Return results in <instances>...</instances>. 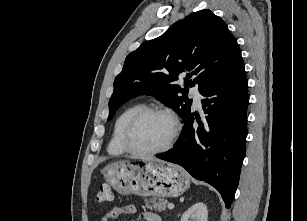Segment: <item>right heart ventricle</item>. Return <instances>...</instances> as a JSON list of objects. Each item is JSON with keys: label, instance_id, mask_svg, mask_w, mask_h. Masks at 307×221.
I'll use <instances>...</instances> for the list:
<instances>
[{"label": "right heart ventricle", "instance_id": "right-heart-ventricle-1", "mask_svg": "<svg viewBox=\"0 0 307 221\" xmlns=\"http://www.w3.org/2000/svg\"><path fill=\"white\" fill-rule=\"evenodd\" d=\"M145 104L138 102L126 107L116 118L108 144V152L111 155L118 156L126 153L127 151L122 145V133L126 123L129 119L140 109L144 108Z\"/></svg>", "mask_w": 307, "mask_h": 221}]
</instances>
